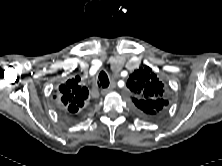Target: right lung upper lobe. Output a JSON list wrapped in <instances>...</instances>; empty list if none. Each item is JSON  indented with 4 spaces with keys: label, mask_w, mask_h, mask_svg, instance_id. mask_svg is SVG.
I'll use <instances>...</instances> for the list:
<instances>
[{
    "label": "right lung upper lobe",
    "mask_w": 222,
    "mask_h": 166,
    "mask_svg": "<svg viewBox=\"0 0 222 166\" xmlns=\"http://www.w3.org/2000/svg\"><path fill=\"white\" fill-rule=\"evenodd\" d=\"M79 79H69L59 87L62 102L66 107L71 108V112H77L80 106H83L84 100L88 96V90L81 87L78 83ZM73 109H76L73 111Z\"/></svg>",
    "instance_id": "cb5924a9"
}]
</instances>
